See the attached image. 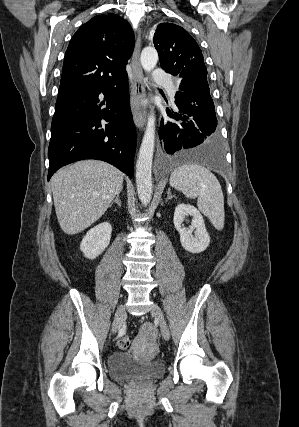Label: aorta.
<instances>
[{"instance_id":"1","label":"aorta","mask_w":299,"mask_h":427,"mask_svg":"<svg viewBox=\"0 0 299 427\" xmlns=\"http://www.w3.org/2000/svg\"><path fill=\"white\" fill-rule=\"evenodd\" d=\"M141 65L146 72L153 70L158 62V53L154 47H145L140 57ZM155 143V116L151 111L140 146L136 162V184L138 197L142 205L147 206L152 198V160Z\"/></svg>"}]
</instances>
